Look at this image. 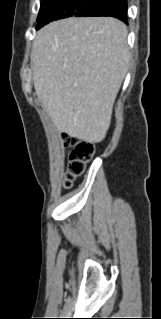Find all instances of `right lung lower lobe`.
<instances>
[{
	"label": "right lung lower lobe",
	"instance_id": "98d812e1",
	"mask_svg": "<svg viewBox=\"0 0 161 319\" xmlns=\"http://www.w3.org/2000/svg\"><path fill=\"white\" fill-rule=\"evenodd\" d=\"M81 16H111L127 23V0H97Z\"/></svg>",
	"mask_w": 161,
	"mask_h": 319
}]
</instances>
